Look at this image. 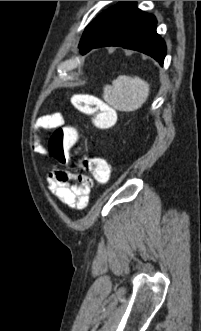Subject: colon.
<instances>
[{
  "label": "colon",
  "instance_id": "obj_1",
  "mask_svg": "<svg viewBox=\"0 0 201 331\" xmlns=\"http://www.w3.org/2000/svg\"><path fill=\"white\" fill-rule=\"evenodd\" d=\"M75 107L83 114L89 116L94 127L98 130H108L117 121L116 111L99 98L80 94L74 97ZM77 133L68 127H58L49 140L50 154L61 164L67 162L66 147L77 141ZM79 166L90 172L93 180L99 185H106L110 180V167L100 157H84L79 160Z\"/></svg>",
  "mask_w": 201,
  "mask_h": 331
}]
</instances>
